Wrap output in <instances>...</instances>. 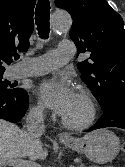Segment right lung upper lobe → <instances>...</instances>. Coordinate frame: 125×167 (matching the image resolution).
I'll return each mask as SVG.
<instances>
[{
	"label": "right lung upper lobe",
	"mask_w": 125,
	"mask_h": 167,
	"mask_svg": "<svg viewBox=\"0 0 125 167\" xmlns=\"http://www.w3.org/2000/svg\"><path fill=\"white\" fill-rule=\"evenodd\" d=\"M36 0H0V72L12 62L17 50L29 48L34 28Z\"/></svg>",
	"instance_id": "obj_1"
}]
</instances>
